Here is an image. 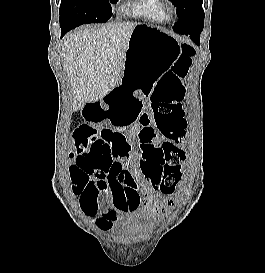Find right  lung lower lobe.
<instances>
[{
  "label": "right lung lower lobe",
  "mask_w": 265,
  "mask_h": 273,
  "mask_svg": "<svg viewBox=\"0 0 265 273\" xmlns=\"http://www.w3.org/2000/svg\"><path fill=\"white\" fill-rule=\"evenodd\" d=\"M66 33H67V32H66ZM61 34H62V36H63V35L65 34V32H62V31H61Z\"/></svg>",
  "instance_id": "right-lung-lower-lobe-1"
}]
</instances>
